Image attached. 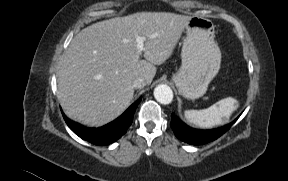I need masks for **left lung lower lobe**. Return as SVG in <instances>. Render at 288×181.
Listing matches in <instances>:
<instances>
[{"instance_id": "1", "label": "left lung lower lobe", "mask_w": 288, "mask_h": 181, "mask_svg": "<svg viewBox=\"0 0 288 181\" xmlns=\"http://www.w3.org/2000/svg\"><path fill=\"white\" fill-rule=\"evenodd\" d=\"M233 122L219 128L210 130H199L187 126L177 116L172 114L171 128L178 139L191 145H203L214 141L227 132L230 127L236 122Z\"/></svg>"}]
</instances>
